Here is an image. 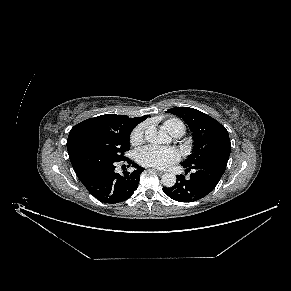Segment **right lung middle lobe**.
Segmentation results:
<instances>
[{"label":"right lung middle lobe","mask_w":291,"mask_h":291,"mask_svg":"<svg viewBox=\"0 0 291 291\" xmlns=\"http://www.w3.org/2000/svg\"><path fill=\"white\" fill-rule=\"evenodd\" d=\"M131 131L112 130L98 133L88 137L84 143V149L100 152L116 160H124L125 152L129 150V136Z\"/></svg>","instance_id":"1"}]
</instances>
